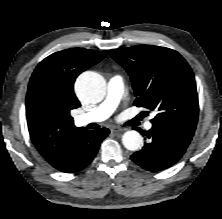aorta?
<instances>
[{
  "mask_svg": "<svg viewBox=\"0 0 222 219\" xmlns=\"http://www.w3.org/2000/svg\"><path fill=\"white\" fill-rule=\"evenodd\" d=\"M75 87L78 96L86 103L100 102L105 96V80L96 72L82 73ZM122 143L126 149L137 151L143 144V138L139 132L130 130L123 134Z\"/></svg>",
  "mask_w": 222,
  "mask_h": 219,
  "instance_id": "obj_1",
  "label": "aorta"
}]
</instances>
